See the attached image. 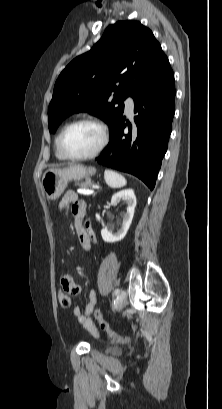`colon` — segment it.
<instances>
[{
  "label": "colon",
  "mask_w": 222,
  "mask_h": 409,
  "mask_svg": "<svg viewBox=\"0 0 222 409\" xmlns=\"http://www.w3.org/2000/svg\"><path fill=\"white\" fill-rule=\"evenodd\" d=\"M71 286V285H70ZM70 286H62V288L58 292V301L62 308H69L71 306V297L68 295V290ZM94 317L97 318L101 323L102 327L108 332L109 338L113 342H126L127 338L119 336L114 331H112L108 324L105 322L104 318L102 317V312L95 310Z\"/></svg>",
  "instance_id": "colon-1"
}]
</instances>
